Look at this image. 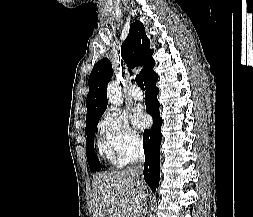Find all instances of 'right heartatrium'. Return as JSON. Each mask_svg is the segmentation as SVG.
I'll return each mask as SVG.
<instances>
[{
	"label": "right heart atrium",
	"instance_id": "d8ad5b80",
	"mask_svg": "<svg viewBox=\"0 0 253 217\" xmlns=\"http://www.w3.org/2000/svg\"><path fill=\"white\" fill-rule=\"evenodd\" d=\"M98 128L122 163L129 160L142 146V138L131 126L128 117L114 109L101 117Z\"/></svg>",
	"mask_w": 253,
	"mask_h": 217
}]
</instances>
